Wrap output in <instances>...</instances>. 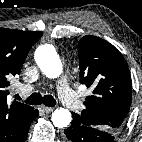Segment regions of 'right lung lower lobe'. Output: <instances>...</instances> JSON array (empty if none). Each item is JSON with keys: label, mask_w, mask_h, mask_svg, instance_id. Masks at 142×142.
Segmentation results:
<instances>
[{"label": "right lung lower lobe", "mask_w": 142, "mask_h": 142, "mask_svg": "<svg viewBox=\"0 0 142 142\" xmlns=\"http://www.w3.org/2000/svg\"><path fill=\"white\" fill-rule=\"evenodd\" d=\"M37 116H38V110L36 109L35 112H34L32 121H33L34 119H36ZM32 121H31V122H32ZM31 122H30V124H31ZM30 124H29L28 127L25 128L24 132L22 133V135L19 137V139H18L16 142H24V141L26 140L27 135H28V130H29Z\"/></svg>", "instance_id": "right-lung-lower-lobe-1"}]
</instances>
